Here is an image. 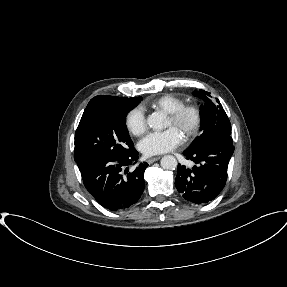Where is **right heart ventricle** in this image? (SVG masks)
Wrapping results in <instances>:
<instances>
[{"label": "right heart ventricle", "instance_id": "1", "mask_svg": "<svg viewBox=\"0 0 287 287\" xmlns=\"http://www.w3.org/2000/svg\"><path fill=\"white\" fill-rule=\"evenodd\" d=\"M184 99L174 94H163L155 97L142 105V108L160 110L170 113L184 104Z\"/></svg>", "mask_w": 287, "mask_h": 287}]
</instances>
